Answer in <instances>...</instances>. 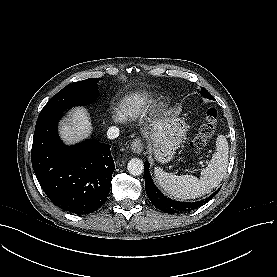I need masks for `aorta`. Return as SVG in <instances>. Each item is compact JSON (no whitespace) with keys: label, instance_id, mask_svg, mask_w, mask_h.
<instances>
[{"label":"aorta","instance_id":"obj_1","mask_svg":"<svg viewBox=\"0 0 277 277\" xmlns=\"http://www.w3.org/2000/svg\"><path fill=\"white\" fill-rule=\"evenodd\" d=\"M128 172L133 176H139L144 172V163L139 158H132L127 164Z\"/></svg>","mask_w":277,"mask_h":277}]
</instances>
